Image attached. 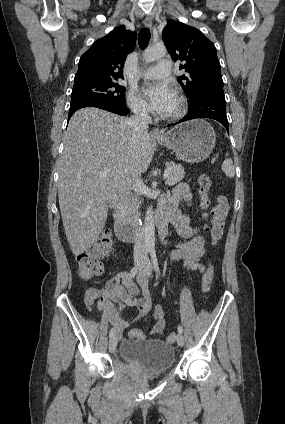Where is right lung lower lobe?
<instances>
[{"label":"right lung lower lobe","mask_w":285,"mask_h":424,"mask_svg":"<svg viewBox=\"0 0 285 424\" xmlns=\"http://www.w3.org/2000/svg\"><path fill=\"white\" fill-rule=\"evenodd\" d=\"M84 107H97L112 113H116L118 115H126L129 113V109L126 107V105H121L109 100L94 97H77L72 98L68 120L74 114V112Z\"/></svg>","instance_id":"1"}]
</instances>
